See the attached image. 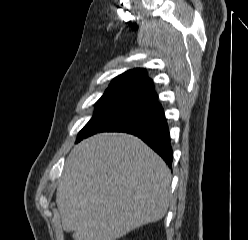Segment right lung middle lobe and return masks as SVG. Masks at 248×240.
I'll use <instances>...</instances> for the list:
<instances>
[{
    "label": "right lung middle lobe",
    "mask_w": 248,
    "mask_h": 240,
    "mask_svg": "<svg viewBox=\"0 0 248 240\" xmlns=\"http://www.w3.org/2000/svg\"><path fill=\"white\" fill-rule=\"evenodd\" d=\"M136 102L137 100L132 97L105 92L95 104L94 115L80 131L77 141L104 118Z\"/></svg>",
    "instance_id": "right-lung-middle-lobe-1"
}]
</instances>
